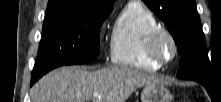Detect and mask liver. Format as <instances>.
<instances>
[{
	"label": "liver",
	"mask_w": 221,
	"mask_h": 102,
	"mask_svg": "<svg viewBox=\"0 0 221 102\" xmlns=\"http://www.w3.org/2000/svg\"><path fill=\"white\" fill-rule=\"evenodd\" d=\"M162 80L127 66L97 71L62 67L43 76L30 90L32 102H125L139 87Z\"/></svg>",
	"instance_id": "obj_1"
}]
</instances>
